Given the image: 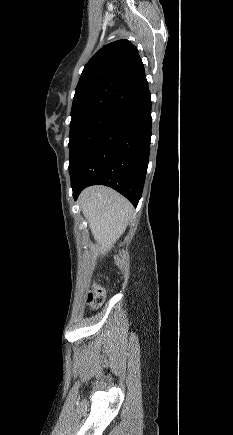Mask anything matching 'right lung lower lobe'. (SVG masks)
Segmentation results:
<instances>
[{"label":"right lung lower lobe","mask_w":233,"mask_h":435,"mask_svg":"<svg viewBox=\"0 0 233 435\" xmlns=\"http://www.w3.org/2000/svg\"><path fill=\"white\" fill-rule=\"evenodd\" d=\"M151 122L148 92L101 136L70 173L74 198L85 187L102 184L137 206L149 162Z\"/></svg>","instance_id":"right-lung-lower-lobe-1"}]
</instances>
